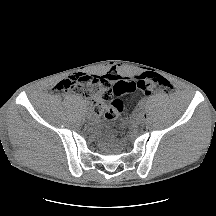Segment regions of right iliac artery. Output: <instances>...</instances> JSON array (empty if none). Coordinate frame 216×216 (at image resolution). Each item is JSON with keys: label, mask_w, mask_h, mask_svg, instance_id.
I'll list each match as a JSON object with an SVG mask.
<instances>
[{"label": "right iliac artery", "mask_w": 216, "mask_h": 216, "mask_svg": "<svg viewBox=\"0 0 216 216\" xmlns=\"http://www.w3.org/2000/svg\"><path fill=\"white\" fill-rule=\"evenodd\" d=\"M84 109V113H89L90 111H89V108H87L86 106L83 108Z\"/></svg>", "instance_id": "obj_1"}]
</instances>
